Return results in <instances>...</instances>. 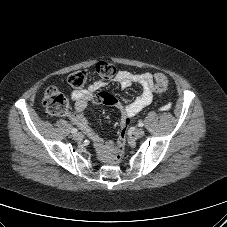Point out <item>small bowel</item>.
Masks as SVG:
<instances>
[{"label": "small bowel", "instance_id": "obj_1", "mask_svg": "<svg viewBox=\"0 0 227 227\" xmlns=\"http://www.w3.org/2000/svg\"><path fill=\"white\" fill-rule=\"evenodd\" d=\"M114 81L118 83L122 88H128L132 84H138L142 92L131 103L124 104L116 97L102 92L95 95L92 99L94 103H104L116 107L122 114V128L126 126V123L137 115L143 108L152 102L154 94V82L153 75L151 73H133L126 70H120L114 77ZM105 82L101 80L95 81L87 89L75 90L71 94V98L74 101V112L70 114V119L74 124L79 126L92 141L94 142L96 151L99 158L103 162H109L115 153L118 146V141H105L101 139L97 133L88 125V122L84 116V111L88 106V103L92 97L93 92L101 89L105 86ZM169 108L165 106L164 109Z\"/></svg>", "mask_w": 227, "mask_h": 227}]
</instances>
